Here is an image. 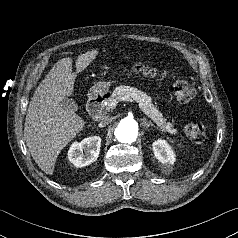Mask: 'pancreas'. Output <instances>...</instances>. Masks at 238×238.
I'll return each instance as SVG.
<instances>
[{
    "label": "pancreas",
    "instance_id": "1",
    "mask_svg": "<svg viewBox=\"0 0 238 238\" xmlns=\"http://www.w3.org/2000/svg\"><path fill=\"white\" fill-rule=\"evenodd\" d=\"M123 98H129L139 103L141 111L147 115L158 127H160L162 131L168 132L170 134L177 133L176 129L172 128V123L167 122L162 113L159 112L158 109L153 105L151 97L146 93L130 86L120 85L116 87L111 96L107 99V102L105 104H101V110L97 117L102 118L105 116L107 112L114 109L112 105L123 100Z\"/></svg>",
    "mask_w": 238,
    "mask_h": 238
}]
</instances>
